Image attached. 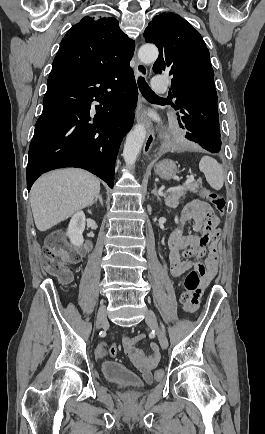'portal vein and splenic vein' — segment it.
Instances as JSON below:
<instances>
[{"label": "portal vein and splenic vein", "instance_id": "portal-vein-and-splenic-vein-1", "mask_svg": "<svg viewBox=\"0 0 265 434\" xmlns=\"http://www.w3.org/2000/svg\"><path fill=\"white\" fill-rule=\"evenodd\" d=\"M191 182H196V180H194V176H187L185 184H191ZM198 182H200V180H198ZM176 190H180V188H169L167 192H176Z\"/></svg>", "mask_w": 265, "mask_h": 434}]
</instances>
